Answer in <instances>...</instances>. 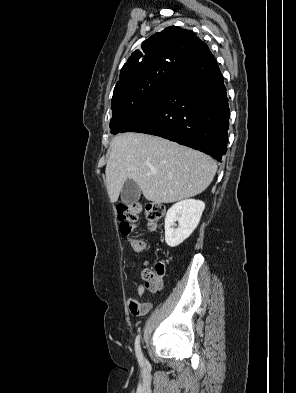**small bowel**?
<instances>
[{
    "instance_id": "obj_1",
    "label": "small bowel",
    "mask_w": 296,
    "mask_h": 393,
    "mask_svg": "<svg viewBox=\"0 0 296 393\" xmlns=\"http://www.w3.org/2000/svg\"><path fill=\"white\" fill-rule=\"evenodd\" d=\"M161 290V284H159L157 286V288L155 289H151L152 292L156 293L158 291ZM146 292V287L144 285H140L137 288V294L138 296H143ZM127 305H128V309L129 312L134 315V316H142V315H146L147 313L150 312V310L152 309V302H142L137 300L134 297H129L127 299Z\"/></svg>"
}]
</instances>
